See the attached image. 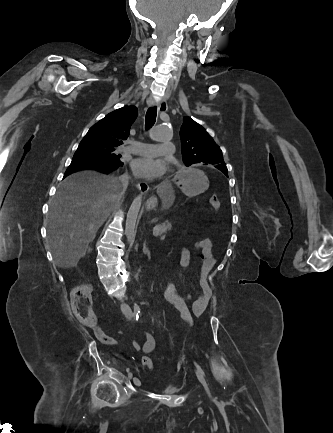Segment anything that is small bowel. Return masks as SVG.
Returning <instances> with one entry per match:
<instances>
[{"label":"small bowel","instance_id":"1","mask_svg":"<svg viewBox=\"0 0 333 433\" xmlns=\"http://www.w3.org/2000/svg\"><path fill=\"white\" fill-rule=\"evenodd\" d=\"M195 248L198 250L199 266H200V292L194 299L193 295L180 294V296L186 301L192 302V312L196 316H201L207 309L209 302L212 297V288L207 280L208 273L215 266L216 260L212 252V242L210 239H203L195 244ZM191 262V255L187 249H181L179 252V264L181 268L185 269L189 266ZM166 285V284H165ZM171 285H173L171 283ZM176 289V288H175ZM174 289V290H175ZM173 290V291H174ZM164 293V289H163ZM93 333L95 337L103 344L108 346H116L118 342L111 336L107 335L99 325L93 326ZM156 347V340L154 336L150 333H145L142 335V340H134L132 343V348L138 352L142 351L144 354H151Z\"/></svg>","mask_w":333,"mask_h":433}]
</instances>
